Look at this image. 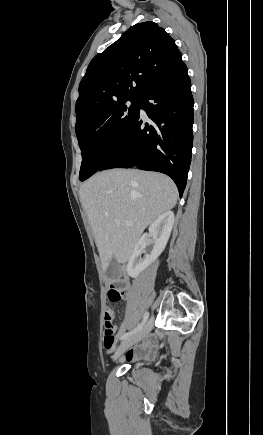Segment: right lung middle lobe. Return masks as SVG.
Here are the masks:
<instances>
[{
	"mask_svg": "<svg viewBox=\"0 0 263 435\" xmlns=\"http://www.w3.org/2000/svg\"><path fill=\"white\" fill-rule=\"evenodd\" d=\"M139 105L140 99L115 102L76 127L82 152L81 181L98 171L120 145L139 113Z\"/></svg>",
	"mask_w": 263,
	"mask_h": 435,
	"instance_id": "obj_1",
	"label": "right lung middle lobe"
}]
</instances>
